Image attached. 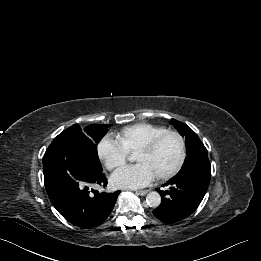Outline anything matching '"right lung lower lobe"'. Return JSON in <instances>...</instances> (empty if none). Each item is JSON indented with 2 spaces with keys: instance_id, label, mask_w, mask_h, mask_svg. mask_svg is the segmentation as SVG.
I'll use <instances>...</instances> for the list:
<instances>
[{
  "instance_id": "1",
  "label": "right lung lower lobe",
  "mask_w": 261,
  "mask_h": 261,
  "mask_svg": "<svg viewBox=\"0 0 261 261\" xmlns=\"http://www.w3.org/2000/svg\"><path fill=\"white\" fill-rule=\"evenodd\" d=\"M47 194L57 211L70 223L81 228L100 225L111 213L121 191L99 193L92 187L107 185L98 169L87 163L84 150L75 142L65 164L43 168Z\"/></svg>"
}]
</instances>
